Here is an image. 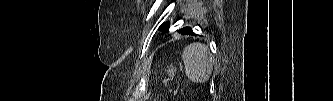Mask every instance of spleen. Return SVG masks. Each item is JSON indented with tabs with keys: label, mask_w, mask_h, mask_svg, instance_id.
I'll list each match as a JSON object with an SVG mask.
<instances>
[{
	"label": "spleen",
	"mask_w": 333,
	"mask_h": 101,
	"mask_svg": "<svg viewBox=\"0 0 333 101\" xmlns=\"http://www.w3.org/2000/svg\"><path fill=\"white\" fill-rule=\"evenodd\" d=\"M185 73L194 83H205L209 80L214 58L208 47L202 43H192L183 52Z\"/></svg>",
	"instance_id": "1"
}]
</instances>
